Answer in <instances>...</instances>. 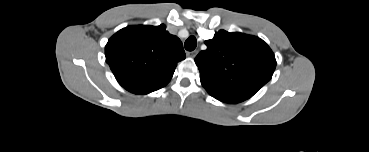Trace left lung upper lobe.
<instances>
[{"label": "left lung upper lobe", "mask_w": 369, "mask_h": 152, "mask_svg": "<svg viewBox=\"0 0 369 152\" xmlns=\"http://www.w3.org/2000/svg\"><path fill=\"white\" fill-rule=\"evenodd\" d=\"M205 44L207 49L195 62L202 86L211 96L247 100L273 75L275 56L258 37L220 30Z\"/></svg>", "instance_id": "obj_1"}]
</instances>
